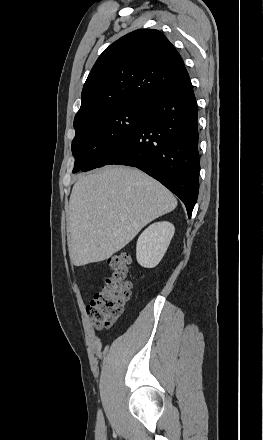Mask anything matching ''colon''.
Wrapping results in <instances>:
<instances>
[{"label": "colon", "instance_id": "1", "mask_svg": "<svg viewBox=\"0 0 263 440\" xmlns=\"http://www.w3.org/2000/svg\"><path fill=\"white\" fill-rule=\"evenodd\" d=\"M130 264L131 259L127 254H116L109 259L111 273L103 278L101 291L95 294L87 307L96 329H110L123 313L131 291Z\"/></svg>", "mask_w": 263, "mask_h": 440}]
</instances>
